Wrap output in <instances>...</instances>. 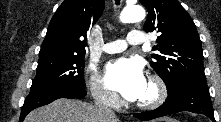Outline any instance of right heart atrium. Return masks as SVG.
<instances>
[{
  "label": "right heart atrium",
  "instance_id": "1",
  "mask_svg": "<svg viewBox=\"0 0 221 122\" xmlns=\"http://www.w3.org/2000/svg\"><path fill=\"white\" fill-rule=\"evenodd\" d=\"M88 87L92 97L101 104L117 107L120 103L118 96L107 89L100 74L92 69L89 72Z\"/></svg>",
  "mask_w": 221,
  "mask_h": 122
}]
</instances>
